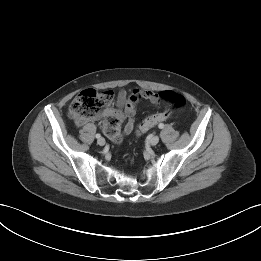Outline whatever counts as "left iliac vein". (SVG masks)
<instances>
[{"mask_svg": "<svg viewBox=\"0 0 261 261\" xmlns=\"http://www.w3.org/2000/svg\"><path fill=\"white\" fill-rule=\"evenodd\" d=\"M158 142H159V137H158V136H153V137L150 139V144H151L152 146L157 145Z\"/></svg>", "mask_w": 261, "mask_h": 261, "instance_id": "obj_1", "label": "left iliac vein"}]
</instances>
